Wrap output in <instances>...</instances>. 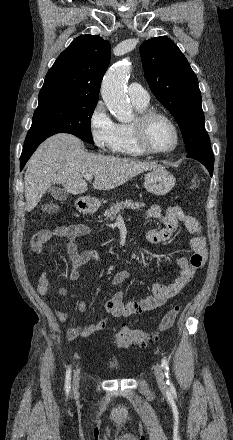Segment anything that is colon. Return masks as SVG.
Returning <instances> with one entry per match:
<instances>
[{
  "instance_id": "1",
  "label": "colon",
  "mask_w": 233,
  "mask_h": 440,
  "mask_svg": "<svg viewBox=\"0 0 233 440\" xmlns=\"http://www.w3.org/2000/svg\"><path fill=\"white\" fill-rule=\"evenodd\" d=\"M200 185V179L197 176H194L190 180L189 188L194 191L198 189ZM59 207L56 203H45L42 206V210L47 215H53L57 213ZM180 312V307L175 306L171 310H169L159 321L155 330L152 332H144L141 330H137L134 328H130L125 325L117 326L114 329V339L117 345L121 348H128L130 346H138L145 347L149 342L155 340L158 337V334L164 330L169 329L175 322L178 314Z\"/></svg>"
}]
</instances>
